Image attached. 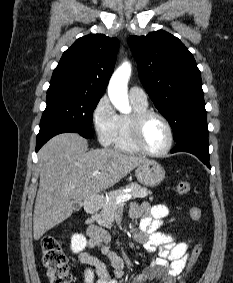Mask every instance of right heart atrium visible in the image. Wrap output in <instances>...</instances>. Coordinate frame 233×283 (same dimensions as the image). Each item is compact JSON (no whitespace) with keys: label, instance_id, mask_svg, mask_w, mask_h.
Masks as SVG:
<instances>
[{"label":"right heart atrium","instance_id":"right-heart-atrium-1","mask_svg":"<svg viewBox=\"0 0 233 283\" xmlns=\"http://www.w3.org/2000/svg\"><path fill=\"white\" fill-rule=\"evenodd\" d=\"M118 115L109 98L101 97L92 111V125L97 139L102 146L113 144Z\"/></svg>","mask_w":233,"mask_h":283}]
</instances>
